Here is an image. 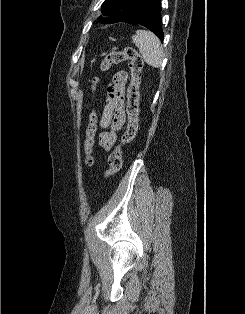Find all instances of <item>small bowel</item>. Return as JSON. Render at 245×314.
Here are the masks:
<instances>
[{
    "mask_svg": "<svg viewBox=\"0 0 245 314\" xmlns=\"http://www.w3.org/2000/svg\"><path fill=\"white\" fill-rule=\"evenodd\" d=\"M128 73L118 71L106 86L105 106L99 119V144L106 150L112 149L117 141V134L125 123L124 95Z\"/></svg>",
    "mask_w": 245,
    "mask_h": 314,
    "instance_id": "c3829d8e",
    "label": "small bowel"
}]
</instances>
